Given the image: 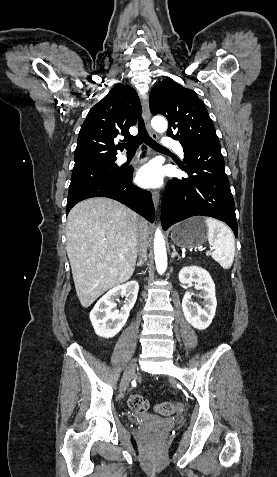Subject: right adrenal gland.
<instances>
[{"instance_id":"right-adrenal-gland-1","label":"right adrenal gland","mask_w":277,"mask_h":477,"mask_svg":"<svg viewBox=\"0 0 277 477\" xmlns=\"http://www.w3.org/2000/svg\"><path fill=\"white\" fill-rule=\"evenodd\" d=\"M143 264V262H139L137 263V266H141Z\"/></svg>"}]
</instances>
